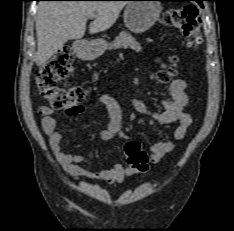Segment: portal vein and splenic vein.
Returning <instances> with one entry per match:
<instances>
[{
  "mask_svg": "<svg viewBox=\"0 0 234 231\" xmlns=\"http://www.w3.org/2000/svg\"><path fill=\"white\" fill-rule=\"evenodd\" d=\"M89 17H90V18H95V17H96V14L93 13V14H91Z\"/></svg>",
  "mask_w": 234,
  "mask_h": 231,
  "instance_id": "18ae733b",
  "label": "portal vein and splenic vein"
}]
</instances>
